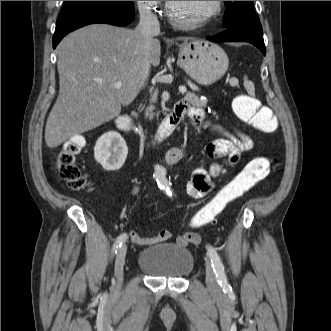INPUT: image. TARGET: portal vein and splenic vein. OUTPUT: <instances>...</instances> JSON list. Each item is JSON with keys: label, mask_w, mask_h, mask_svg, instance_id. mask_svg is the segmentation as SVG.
Here are the masks:
<instances>
[{"label": "portal vein and splenic vein", "mask_w": 331, "mask_h": 331, "mask_svg": "<svg viewBox=\"0 0 331 331\" xmlns=\"http://www.w3.org/2000/svg\"><path fill=\"white\" fill-rule=\"evenodd\" d=\"M121 86H122V83L121 82H116L115 83V88L120 89ZM179 91L181 93H186L187 92V88L185 86H179Z\"/></svg>", "instance_id": "portal-vein-and-splenic-vein-1"}]
</instances>
